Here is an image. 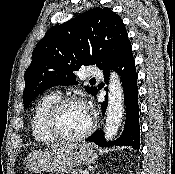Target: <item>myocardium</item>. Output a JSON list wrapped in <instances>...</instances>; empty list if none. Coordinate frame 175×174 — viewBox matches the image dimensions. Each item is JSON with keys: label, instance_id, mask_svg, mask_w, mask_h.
Returning <instances> with one entry per match:
<instances>
[{"label": "myocardium", "instance_id": "f54148a6", "mask_svg": "<svg viewBox=\"0 0 175 174\" xmlns=\"http://www.w3.org/2000/svg\"><path fill=\"white\" fill-rule=\"evenodd\" d=\"M69 104H81L85 106L89 113H90V124L87 127L86 130H84L82 133L77 135H66L62 133L58 127V116L62 109L66 107ZM96 126V118L91 113L89 106L87 103L80 97L77 96H69L65 98H60L58 101H56L52 107L49 109L47 116H46V127L49 131V133L59 141H66V142H73V141H80L82 139H85L88 137Z\"/></svg>", "mask_w": 175, "mask_h": 174}]
</instances>
